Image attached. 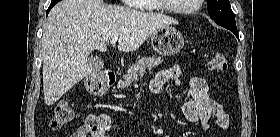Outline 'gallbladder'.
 Segmentation results:
<instances>
[{
	"label": "gallbladder",
	"instance_id": "1",
	"mask_svg": "<svg viewBox=\"0 0 280 137\" xmlns=\"http://www.w3.org/2000/svg\"><path fill=\"white\" fill-rule=\"evenodd\" d=\"M88 64L92 68L93 72H99L103 68V61L99 57H91L88 59Z\"/></svg>",
	"mask_w": 280,
	"mask_h": 137
}]
</instances>
